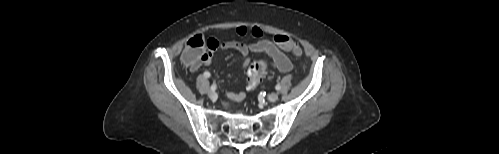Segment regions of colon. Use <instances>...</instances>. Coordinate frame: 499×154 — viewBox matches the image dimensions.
Masks as SVG:
<instances>
[{"instance_id": "obj_1", "label": "colon", "mask_w": 499, "mask_h": 154, "mask_svg": "<svg viewBox=\"0 0 499 154\" xmlns=\"http://www.w3.org/2000/svg\"><path fill=\"white\" fill-rule=\"evenodd\" d=\"M274 43L283 50L292 52L296 56L302 55V49L291 37L285 34H278L274 36ZM211 56L209 40L203 35H195L190 38L185 46L182 60L191 67L196 68L202 62L208 60ZM267 64L264 61H255L249 68L248 75V88L254 89L258 86L261 77L264 74Z\"/></svg>"}]
</instances>
